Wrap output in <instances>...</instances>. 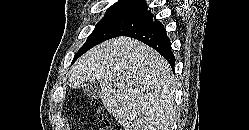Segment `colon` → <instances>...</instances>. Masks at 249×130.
<instances>
[{
	"label": "colon",
	"instance_id": "colon-1",
	"mask_svg": "<svg viewBox=\"0 0 249 130\" xmlns=\"http://www.w3.org/2000/svg\"><path fill=\"white\" fill-rule=\"evenodd\" d=\"M99 120L100 130H116L104 114L100 115Z\"/></svg>",
	"mask_w": 249,
	"mask_h": 130
}]
</instances>
